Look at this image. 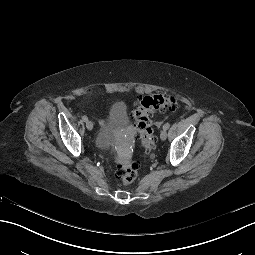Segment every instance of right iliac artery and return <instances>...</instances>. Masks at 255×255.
I'll list each match as a JSON object with an SVG mask.
<instances>
[{
	"mask_svg": "<svg viewBox=\"0 0 255 255\" xmlns=\"http://www.w3.org/2000/svg\"><path fill=\"white\" fill-rule=\"evenodd\" d=\"M82 119H83L84 122H87V121H88V117L85 116V115L82 117Z\"/></svg>",
	"mask_w": 255,
	"mask_h": 255,
	"instance_id": "1",
	"label": "right iliac artery"
}]
</instances>
